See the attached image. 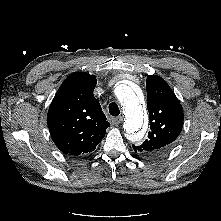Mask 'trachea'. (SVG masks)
<instances>
[{"mask_svg": "<svg viewBox=\"0 0 221 221\" xmlns=\"http://www.w3.org/2000/svg\"><path fill=\"white\" fill-rule=\"evenodd\" d=\"M109 113L112 116H118L120 114L119 107L116 103L112 102L109 104Z\"/></svg>", "mask_w": 221, "mask_h": 221, "instance_id": "1", "label": "trachea"}]
</instances>
